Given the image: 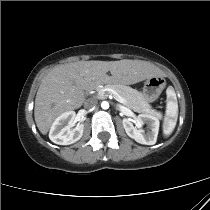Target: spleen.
<instances>
[{"mask_svg":"<svg viewBox=\"0 0 210 210\" xmlns=\"http://www.w3.org/2000/svg\"><path fill=\"white\" fill-rule=\"evenodd\" d=\"M167 94V104L166 112L163 121V134L168 137L173 132L177 118H178V102L174 89L169 87L166 91Z\"/></svg>","mask_w":210,"mask_h":210,"instance_id":"1","label":"spleen"}]
</instances>
